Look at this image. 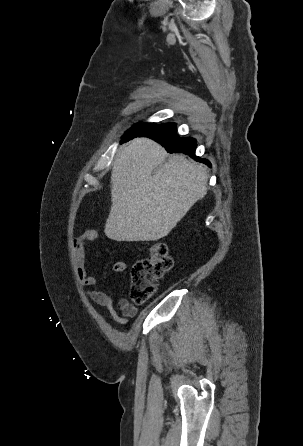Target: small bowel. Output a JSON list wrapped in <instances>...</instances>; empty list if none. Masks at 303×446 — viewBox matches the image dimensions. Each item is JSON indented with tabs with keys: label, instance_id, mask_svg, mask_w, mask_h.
<instances>
[{
	"label": "small bowel",
	"instance_id": "obj_1",
	"mask_svg": "<svg viewBox=\"0 0 303 446\" xmlns=\"http://www.w3.org/2000/svg\"><path fill=\"white\" fill-rule=\"evenodd\" d=\"M98 237L99 234L95 229L86 228L73 239L72 243L76 275L80 283L86 287L95 286L97 284V277L87 273L85 266V246L88 242L96 241ZM126 269L127 266L122 261H117L113 265V270L118 273H123ZM86 295L95 304L105 307L109 318L120 326H126L128 320L137 315V307L125 299H121L115 305L113 290L110 286L104 290H87Z\"/></svg>",
	"mask_w": 303,
	"mask_h": 446
}]
</instances>
